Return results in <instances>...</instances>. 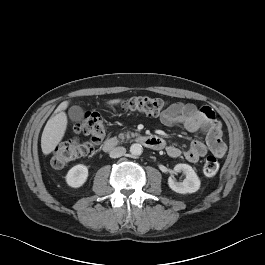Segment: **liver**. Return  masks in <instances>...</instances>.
I'll list each match as a JSON object with an SVG mask.
<instances>
[{
    "label": "liver",
    "instance_id": "1",
    "mask_svg": "<svg viewBox=\"0 0 265 265\" xmlns=\"http://www.w3.org/2000/svg\"><path fill=\"white\" fill-rule=\"evenodd\" d=\"M120 102V99H113L108 101V104L113 105ZM68 104L69 101H63L60 103L44 127L41 137V149L45 155L54 151L64 137L68 124L67 116L64 110L68 107Z\"/></svg>",
    "mask_w": 265,
    "mask_h": 265
}]
</instances>
